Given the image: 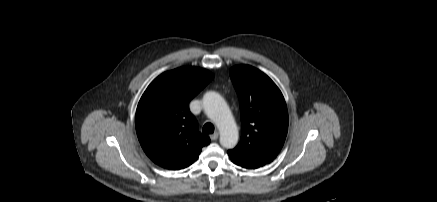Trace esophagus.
<instances>
[{
    "label": "esophagus",
    "mask_w": 437,
    "mask_h": 202,
    "mask_svg": "<svg viewBox=\"0 0 437 202\" xmlns=\"http://www.w3.org/2000/svg\"><path fill=\"white\" fill-rule=\"evenodd\" d=\"M218 136H219V134L216 132V133L210 135V139H211L212 141H215V140L218 139Z\"/></svg>",
    "instance_id": "34e87169"
}]
</instances>
